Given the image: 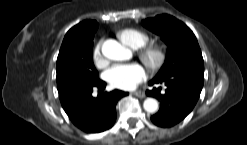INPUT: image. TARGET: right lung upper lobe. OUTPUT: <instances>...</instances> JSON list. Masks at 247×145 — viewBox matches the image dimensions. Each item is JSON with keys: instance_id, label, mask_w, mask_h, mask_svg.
<instances>
[{"instance_id": "1", "label": "right lung upper lobe", "mask_w": 247, "mask_h": 145, "mask_svg": "<svg viewBox=\"0 0 247 145\" xmlns=\"http://www.w3.org/2000/svg\"><path fill=\"white\" fill-rule=\"evenodd\" d=\"M98 29V23L93 20H85L83 22H80L79 24L72 27L65 37L69 36H78L83 37L87 39H92L94 37V34L96 30Z\"/></svg>"}]
</instances>
